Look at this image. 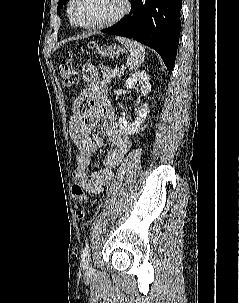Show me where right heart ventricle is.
<instances>
[{"label": "right heart ventricle", "instance_id": "right-heart-ventricle-1", "mask_svg": "<svg viewBox=\"0 0 239 303\" xmlns=\"http://www.w3.org/2000/svg\"><path fill=\"white\" fill-rule=\"evenodd\" d=\"M71 5H72V0H70V2L68 4V17H69L71 25H75L73 20H72V17H71Z\"/></svg>", "mask_w": 239, "mask_h": 303}]
</instances>
